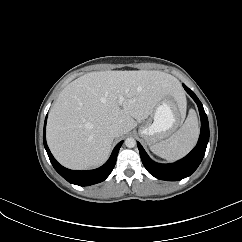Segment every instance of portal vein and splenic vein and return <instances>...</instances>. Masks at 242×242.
Here are the masks:
<instances>
[{
    "instance_id": "18ae733b",
    "label": "portal vein and splenic vein",
    "mask_w": 242,
    "mask_h": 242,
    "mask_svg": "<svg viewBox=\"0 0 242 242\" xmlns=\"http://www.w3.org/2000/svg\"><path fill=\"white\" fill-rule=\"evenodd\" d=\"M124 101L123 96H119V103H122Z\"/></svg>"
}]
</instances>
